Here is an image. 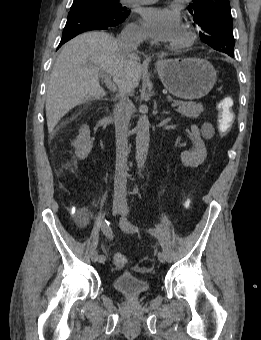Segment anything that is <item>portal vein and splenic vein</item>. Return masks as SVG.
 I'll list each match as a JSON object with an SVG mask.
<instances>
[{"label": "portal vein and splenic vein", "mask_w": 261, "mask_h": 340, "mask_svg": "<svg viewBox=\"0 0 261 340\" xmlns=\"http://www.w3.org/2000/svg\"><path fill=\"white\" fill-rule=\"evenodd\" d=\"M100 75L104 78V82H105V85L106 87L112 91V92H115L117 90V87L116 85L111 81V78L109 76V74L105 71H101L100 72ZM179 104L177 102H174L171 104V107L172 108H175L177 107Z\"/></svg>", "instance_id": "obj_1"}]
</instances>
